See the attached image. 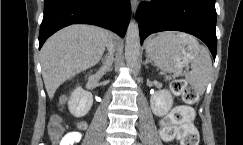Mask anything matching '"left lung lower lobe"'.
<instances>
[{"label": "left lung lower lobe", "mask_w": 243, "mask_h": 145, "mask_svg": "<svg viewBox=\"0 0 243 145\" xmlns=\"http://www.w3.org/2000/svg\"><path fill=\"white\" fill-rule=\"evenodd\" d=\"M140 41L151 33L175 30L201 39L216 57L215 0H152L137 10Z\"/></svg>", "instance_id": "obj_1"}]
</instances>
